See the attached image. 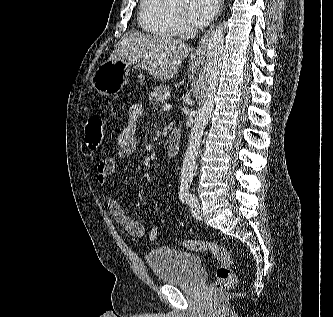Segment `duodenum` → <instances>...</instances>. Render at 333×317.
I'll use <instances>...</instances> for the list:
<instances>
[{"label": "duodenum", "mask_w": 333, "mask_h": 317, "mask_svg": "<svg viewBox=\"0 0 333 317\" xmlns=\"http://www.w3.org/2000/svg\"><path fill=\"white\" fill-rule=\"evenodd\" d=\"M181 145V131L180 129H174L168 139L166 151L169 157H176L180 151Z\"/></svg>", "instance_id": "duodenum-1"}]
</instances>
